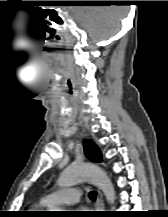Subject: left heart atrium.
Here are the masks:
<instances>
[{"label":"left heart atrium","instance_id":"left-heart-atrium-1","mask_svg":"<svg viewBox=\"0 0 168 217\" xmlns=\"http://www.w3.org/2000/svg\"><path fill=\"white\" fill-rule=\"evenodd\" d=\"M84 213L85 212H83V210H80L76 213V215H77V217H83V215H85Z\"/></svg>","mask_w":168,"mask_h":217}]
</instances>
